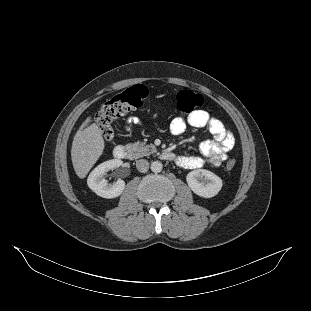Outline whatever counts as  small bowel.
I'll return each instance as SVG.
<instances>
[{"label": "small bowel", "mask_w": 311, "mask_h": 311, "mask_svg": "<svg viewBox=\"0 0 311 311\" xmlns=\"http://www.w3.org/2000/svg\"><path fill=\"white\" fill-rule=\"evenodd\" d=\"M137 124H140L138 118H128L127 130L130 131L131 126ZM187 124L197 128H206L212 138L199 145V156H180L176 159V163L185 169H198L206 163L213 166H220L226 160L227 153L234 146L235 140L233 134L225 128L219 119L211 116L204 110L191 112L187 119L182 117L173 119L170 124V132L173 135H180L185 131Z\"/></svg>", "instance_id": "small-bowel-1"}]
</instances>
